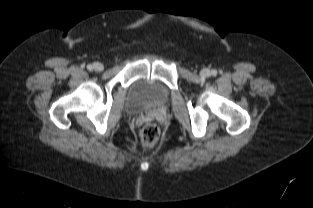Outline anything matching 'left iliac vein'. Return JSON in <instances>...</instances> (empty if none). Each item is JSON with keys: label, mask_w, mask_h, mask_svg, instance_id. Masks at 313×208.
<instances>
[{"label": "left iliac vein", "mask_w": 313, "mask_h": 208, "mask_svg": "<svg viewBox=\"0 0 313 208\" xmlns=\"http://www.w3.org/2000/svg\"><path fill=\"white\" fill-rule=\"evenodd\" d=\"M200 74L202 77H209L211 72L208 69H203Z\"/></svg>", "instance_id": "1"}]
</instances>
